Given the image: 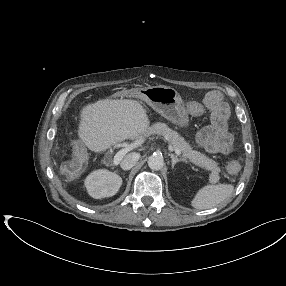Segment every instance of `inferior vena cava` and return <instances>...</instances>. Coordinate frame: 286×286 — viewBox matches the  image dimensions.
<instances>
[{"mask_svg":"<svg viewBox=\"0 0 286 286\" xmlns=\"http://www.w3.org/2000/svg\"><path fill=\"white\" fill-rule=\"evenodd\" d=\"M139 157L138 153L127 154L120 163L121 168L123 170H130L138 162Z\"/></svg>","mask_w":286,"mask_h":286,"instance_id":"602c4592","label":"inferior vena cava"}]
</instances>
